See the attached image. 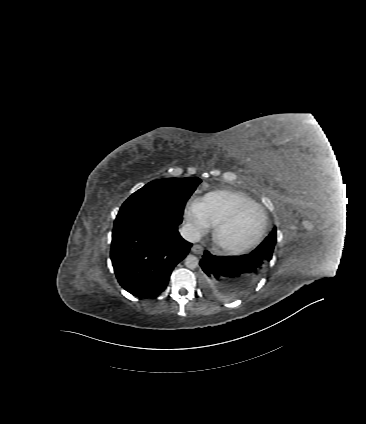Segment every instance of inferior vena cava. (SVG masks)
I'll return each mask as SVG.
<instances>
[{
  "label": "inferior vena cava",
  "mask_w": 366,
  "mask_h": 424,
  "mask_svg": "<svg viewBox=\"0 0 366 424\" xmlns=\"http://www.w3.org/2000/svg\"><path fill=\"white\" fill-rule=\"evenodd\" d=\"M180 235L188 242L196 243L201 239L199 230L192 224H185L180 230Z\"/></svg>",
  "instance_id": "inferior-vena-cava-1"
}]
</instances>
